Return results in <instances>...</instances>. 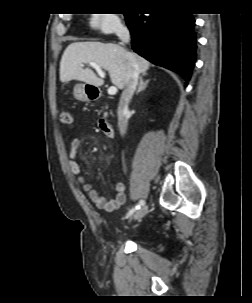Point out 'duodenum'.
Instances as JSON below:
<instances>
[{
    "label": "duodenum",
    "mask_w": 252,
    "mask_h": 303,
    "mask_svg": "<svg viewBox=\"0 0 252 303\" xmlns=\"http://www.w3.org/2000/svg\"><path fill=\"white\" fill-rule=\"evenodd\" d=\"M87 95L90 99H95L97 97H99V93L92 91L91 89H87L86 90ZM100 129L102 130V132L104 133V135L108 138V139H112L114 137V129L113 126L105 121V120H101L99 123Z\"/></svg>",
    "instance_id": "duodenum-1"
}]
</instances>
